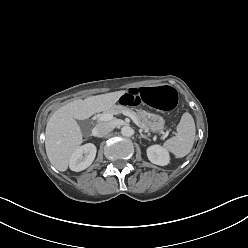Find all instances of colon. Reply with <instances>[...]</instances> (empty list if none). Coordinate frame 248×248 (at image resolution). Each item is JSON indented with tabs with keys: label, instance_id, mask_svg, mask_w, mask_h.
<instances>
[{
	"label": "colon",
	"instance_id": "obj_1",
	"mask_svg": "<svg viewBox=\"0 0 248 248\" xmlns=\"http://www.w3.org/2000/svg\"><path fill=\"white\" fill-rule=\"evenodd\" d=\"M121 100L126 105H137L145 102L156 109L170 111L176 107L178 96L170 86H156L128 89L122 95Z\"/></svg>",
	"mask_w": 248,
	"mask_h": 248
}]
</instances>
